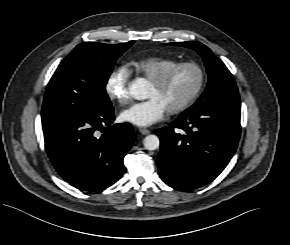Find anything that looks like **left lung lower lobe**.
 I'll list each match as a JSON object with an SVG mask.
<instances>
[{
    "label": "left lung lower lobe",
    "mask_w": 290,
    "mask_h": 245,
    "mask_svg": "<svg viewBox=\"0 0 290 245\" xmlns=\"http://www.w3.org/2000/svg\"><path fill=\"white\" fill-rule=\"evenodd\" d=\"M240 131V107L207 104L187 109L155 131L160 138V177L179 190L208 184L234 155Z\"/></svg>",
    "instance_id": "1"
}]
</instances>
